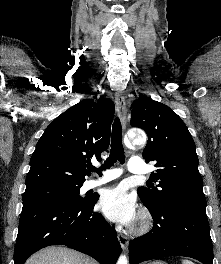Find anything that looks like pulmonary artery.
Masks as SVG:
<instances>
[{
	"instance_id": "obj_1",
	"label": "pulmonary artery",
	"mask_w": 221,
	"mask_h": 264,
	"mask_svg": "<svg viewBox=\"0 0 221 264\" xmlns=\"http://www.w3.org/2000/svg\"><path fill=\"white\" fill-rule=\"evenodd\" d=\"M128 170L133 174L142 175L146 173L144 162L139 157H132L128 163ZM122 171L120 169H108L102 173L98 178H93L85 183L86 189L95 188L97 186L103 185L110 182L121 175Z\"/></svg>"
}]
</instances>
